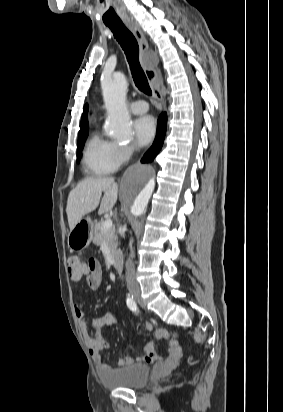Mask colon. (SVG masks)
<instances>
[{
    "label": "colon",
    "mask_w": 283,
    "mask_h": 412,
    "mask_svg": "<svg viewBox=\"0 0 283 412\" xmlns=\"http://www.w3.org/2000/svg\"><path fill=\"white\" fill-rule=\"evenodd\" d=\"M96 266L97 262L93 258L82 261L77 257H72L67 262L68 272L75 280H79L87 273L95 271Z\"/></svg>",
    "instance_id": "1"
}]
</instances>
